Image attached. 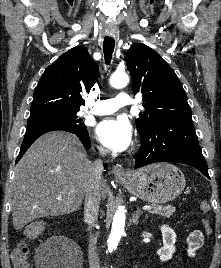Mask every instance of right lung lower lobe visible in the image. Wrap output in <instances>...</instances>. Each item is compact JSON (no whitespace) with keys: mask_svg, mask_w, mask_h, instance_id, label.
<instances>
[{"mask_svg":"<svg viewBox=\"0 0 221 268\" xmlns=\"http://www.w3.org/2000/svg\"><path fill=\"white\" fill-rule=\"evenodd\" d=\"M54 130H62L75 134L79 137L82 144L86 147H90V139L87 129H78V128H70L66 126L60 125H37L28 127L26 129V134L21 145L20 153L16 159V163L21 159L27 149L32 145V143L41 135L46 132L54 131Z\"/></svg>","mask_w":221,"mask_h":268,"instance_id":"right-lung-lower-lobe-1","label":"right lung lower lobe"}]
</instances>
